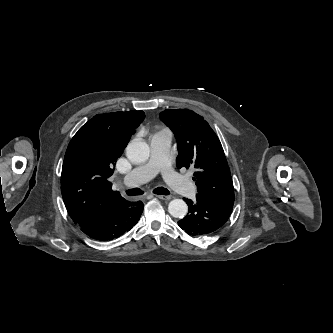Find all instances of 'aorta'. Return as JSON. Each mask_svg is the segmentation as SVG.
Masks as SVG:
<instances>
[{
  "instance_id": "762f6f07",
  "label": "aorta",
  "mask_w": 333,
  "mask_h": 333,
  "mask_svg": "<svg viewBox=\"0 0 333 333\" xmlns=\"http://www.w3.org/2000/svg\"><path fill=\"white\" fill-rule=\"evenodd\" d=\"M149 145L141 140H132L126 148V156L133 163H142L148 160ZM170 215L183 218L188 212V206L182 199H173L168 205Z\"/></svg>"
}]
</instances>
